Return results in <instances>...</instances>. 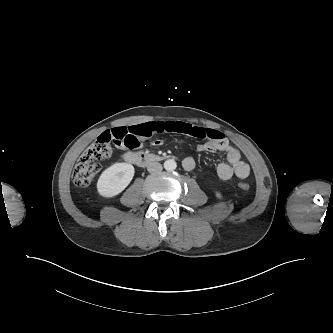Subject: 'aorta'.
<instances>
[{
	"label": "aorta",
	"mask_w": 333,
	"mask_h": 333,
	"mask_svg": "<svg viewBox=\"0 0 333 333\" xmlns=\"http://www.w3.org/2000/svg\"><path fill=\"white\" fill-rule=\"evenodd\" d=\"M177 167V163L174 159H168L164 162V168L167 171H173Z\"/></svg>",
	"instance_id": "1"
}]
</instances>
